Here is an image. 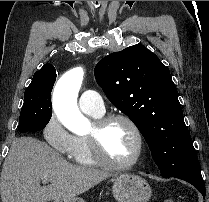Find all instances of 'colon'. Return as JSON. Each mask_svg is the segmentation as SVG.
Here are the masks:
<instances>
[{"instance_id": "obj_1", "label": "colon", "mask_w": 209, "mask_h": 202, "mask_svg": "<svg viewBox=\"0 0 209 202\" xmlns=\"http://www.w3.org/2000/svg\"><path fill=\"white\" fill-rule=\"evenodd\" d=\"M163 202H183L181 200H174V199H166Z\"/></svg>"}]
</instances>
